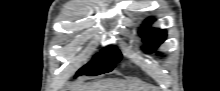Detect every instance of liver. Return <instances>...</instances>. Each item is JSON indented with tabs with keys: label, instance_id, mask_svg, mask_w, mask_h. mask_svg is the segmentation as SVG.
Wrapping results in <instances>:
<instances>
[{
	"label": "liver",
	"instance_id": "obj_1",
	"mask_svg": "<svg viewBox=\"0 0 220 91\" xmlns=\"http://www.w3.org/2000/svg\"><path fill=\"white\" fill-rule=\"evenodd\" d=\"M77 91H149V89L128 80L105 79L89 82Z\"/></svg>",
	"mask_w": 220,
	"mask_h": 91
}]
</instances>
